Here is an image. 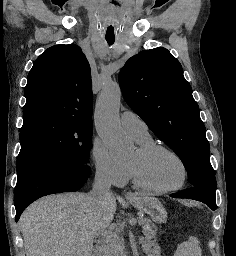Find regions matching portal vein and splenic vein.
<instances>
[{"instance_id": "obj_1", "label": "portal vein and splenic vein", "mask_w": 236, "mask_h": 256, "mask_svg": "<svg viewBox=\"0 0 236 256\" xmlns=\"http://www.w3.org/2000/svg\"><path fill=\"white\" fill-rule=\"evenodd\" d=\"M115 228H119V224H117V226H115ZM105 232H102V236H104Z\"/></svg>"}]
</instances>
